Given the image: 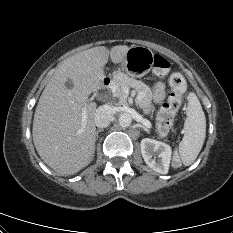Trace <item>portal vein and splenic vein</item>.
Returning a JSON list of instances; mask_svg holds the SVG:
<instances>
[{
    "instance_id": "18ae733b",
    "label": "portal vein and splenic vein",
    "mask_w": 233,
    "mask_h": 233,
    "mask_svg": "<svg viewBox=\"0 0 233 233\" xmlns=\"http://www.w3.org/2000/svg\"><path fill=\"white\" fill-rule=\"evenodd\" d=\"M85 124H86V112L84 111L83 114H82V125H83V127H85Z\"/></svg>"
}]
</instances>
